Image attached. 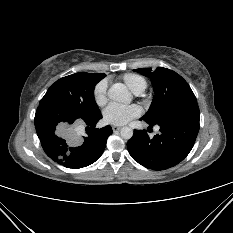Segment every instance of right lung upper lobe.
Segmentation results:
<instances>
[{
  "mask_svg": "<svg viewBox=\"0 0 233 233\" xmlns=\"http://www.w3.org/2000/svg\"><path fill=\"white\" fill-rule=\"evenodd\" d=\"M95 76L98 78V79H102L104 78L106 75L105 74H95Z\"/></svg>",
  "mask_w": 233,
  "mask_h": 233,
  "instance_id": "right-lung-upper-lobe-1",
  "label": "right lung upper lobe"
}]
</instances>
